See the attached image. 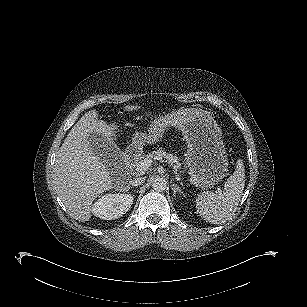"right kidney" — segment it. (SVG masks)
Here are the masks:
<instances>
[{"label":"right kidney","mask_w":307,"mask_h":307,"mask_svg":"<svg viewBox=\"0 0 307 307\" xmlns=\"http://www.w3.org/2000/svg\"><path fill=\"white\" fill-rule=\"evenodd\" d=\"M132 194H105L92 205L94 216L103 220H112L121 217L133 203Z\"/></svg>","instance_id":"1"}]
</instances>
